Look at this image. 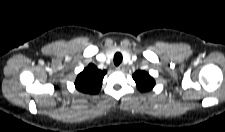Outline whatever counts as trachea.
<instances>
[{
  "mask_svg": "<svg viewBox=\"0 0 225 132\" xmlns=\"http://www.w3.org/2000/svg\"><path fill=\"white\" fill-rule=\"evenodd\" d=\"M122 59H123L122 54L119 53V52H117V53L114 55V64H115L116 66H118V65L122 62Z\"/></svg>",
  "mask_w": 225,
  "mask_h": 132,
  "instance_id": "trachea-1",
  "label": "trachea"
}]
</instances>
